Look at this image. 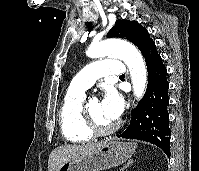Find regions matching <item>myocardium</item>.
Instances as JSON below:
<instances>
[{
	"instance_id": "f54148a6",
	"label": "myocardium",
	"mask_w": 199,
	"mask_h": 171,
	"mask_svg": "<svg viewBox=\"0 0 199 171\" xmlns=\"http://www.w3.org/2000/svg\"><path fill=\"white\" fill-rule=\"evenodd\" d=\"M83 111L86 117L87 121V126L89 130L93 134L97 135H105V134H110L114 131H116L119 127L118 123H113L111 125H102L100 124L91 114L87 106H83Z\"/></svg>"
}]
</instances>
